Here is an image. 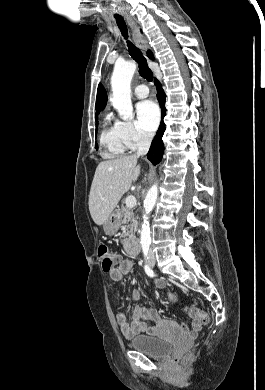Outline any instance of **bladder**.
Wrapping results in <instances>:
<instances>
[{
	"mask_svg": "<svg viewBox=\"0 0 265 390\" xmlns=\"http://www.w3.org/2000/svg\"><path fill=\"white\" fill-rule=\"evenodd\" d=\"M129 345L136 351L151 357H163L171 353L173 345L156 336L139 335L129 341Z\"/></svg>",
	"mask_w": 265,
	"mask_h": 390,
	"instance_id": "bladder-1",
	"label": "bladder"
}]
</instances>
